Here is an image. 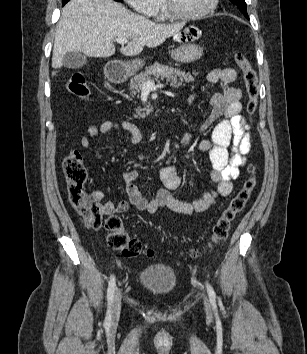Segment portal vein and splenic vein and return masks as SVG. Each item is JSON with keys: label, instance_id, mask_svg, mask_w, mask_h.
<instances>
[{"label": "portal vein and splenic vein", "instance_id": "1", "mask_svg": "<svg viewBox=\"0 0 307 354\" xmlns=\"http://www.w3.org/2000/svg\"><path fill=\"white\" fill-rule=\"evenodd\" d=\"M116 42L119 43V44H121V45H124V44H126V43L128 42V39L123 38V37H118V38L116 39ZM163 87H164L163 84H157V85H155L153 81H150V80H149V81H146L145 83H143L141 90H142L143 92H150V91L155 90V89H157V88H163Z\"/></svg>", "mask_w": 307, "mask_h": 354}]
</instances>
